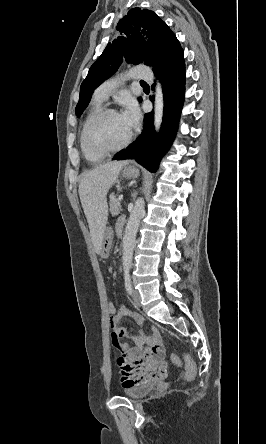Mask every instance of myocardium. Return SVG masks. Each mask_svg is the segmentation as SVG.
I'll return each mask as SVG.
<instances>
[{
  "instance_id": "obj_1",
  "label": "myocardium",
  "mask_w": 266,
  "mask_h": 444,
  "mask_svg": "<svg viewBox=\"0 0 266 444\" xmlns=\"http://www.w3.org/2000/svg\"><path fill=\"white\" fill-rule=\"evenodd\" d=\"M109 114H119V112L114 109V108H102L99 112H97L89 121V123L86 126L85 132H84V144L85 147L87 148L88 151H90L91 153L94 154H99V155H110L116 152H119L121 150H123L124 148H126L132 141L133 139V132L131 131L130 134L128 135V137L125 139V141L120 144L117 147L114 148H107V149H98L97 147H95L90 140V136L92 133V130L94 128V126L105 116L109 115Z\"/></svg>"
}]
</instances>
